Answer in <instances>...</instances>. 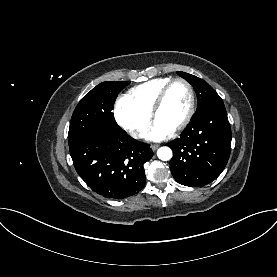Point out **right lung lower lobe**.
I'll return each mask as SVG.
<instances>
[{"label": "right lung lower lobe", "instance_id": "1", "mask_svg": "<svg viewBox=\"0 0 277 277\" xmlns=\"http://www.w3.org/2000/svg\"><path fill=\"white\" fill-rule=\"evenodd\" d=\"M69 148L77 173L98 194L122 199L143 189V165L153 152L148 144L133 139L124 130L98 129Z\"/></svg>", "mask_w": 277, "mask_h": 277}]
</instances>
